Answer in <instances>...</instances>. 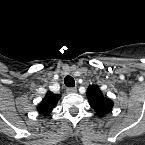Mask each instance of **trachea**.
Here are the masks:
<instances>
[{"instance_id": "3493384b", "label": "trachea", "mask_w": 145, "mask_h": 145, "mask_svg": "<svg viewBox=\"0 0 145 145\" xmlns=\"http://www.w3.org/2000/svg\"><path fill=\"white\" fill-rule=\"evenodd\" d=\"M64 83L67 87L75 86V81H74L73 77H71L69 75L64 78Z\"/></svg>"}]
</instances>
